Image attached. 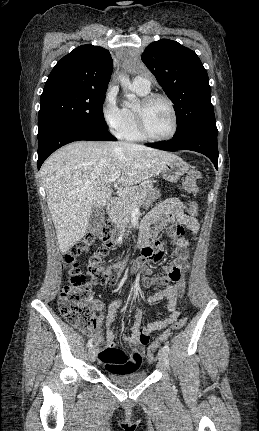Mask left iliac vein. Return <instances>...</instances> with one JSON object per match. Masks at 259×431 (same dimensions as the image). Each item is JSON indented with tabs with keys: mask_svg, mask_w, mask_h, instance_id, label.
Returning <instances> with one entry per match:
<instances>
[{
	"mask_svg": "<svg viewBox=\"0 0 259 431\" xmlns=\"http://www.w3.org/2000/svg\"><path fill=\"white\" fill-rule=\"evenodd\" d=\"M158 358H159L160 365L164 369H168L169 368V357H168V353L165 351L164 348L160 349V351L158 353Z\"/></svg>",
	"mask_w": 259,
	"mask_h": 431,
	"instance_id": "left-iliac-vein-1",
	"label": "left iliac vein"
}]
</instances>
